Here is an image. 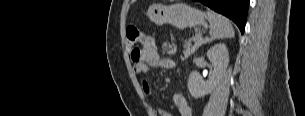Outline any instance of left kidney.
<instances>
[{
  "instance_id": "5707ae66",
  "label": "left kidney",
  "mask_w": 305,
  "mask_h": 116,
  "mask_svg": "<svg viewBox=\"0 0 305 116\" xmlns=\"http://www.w3.org/2000/svg\"><path fill=\"white\" fill-rule=\"evenodd\" d=\"M207 57L213 66L210 80L204 81L197 71H192L189 75L188 89L194 98L211 93L219 84L229 65V53L224 43L211 47L207 52Z\"/></svg>"
}]
</instances>
